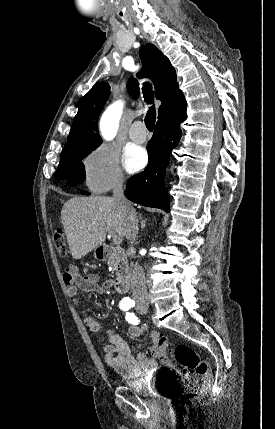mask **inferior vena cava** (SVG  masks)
I'll list each match as a JSON object with an SVG mask.
<instances>
[{
	"instance_id": "inferior-vena-cava-1",
	"label": "inferior vena cava",
	"mask_w": 275,
	"mask_h": 429,
	"mask_svg": "<svg viewBox=\"0 0 275 429\" xmlns=\"http://www.w3.org/2000/svg\"><path fill=\"white\" fill-rule=\"evenodd\" d=\"M123 179H120L113 190V199L117 202L119 209L125 218V236L131 246L128 251H133V243L138 233V217L131 203L126 199L123 190ZM132 272V295L137 304L148 305L147 287L143 268L138 263L131 264Z\"/></svg>"
}]
</instances>
